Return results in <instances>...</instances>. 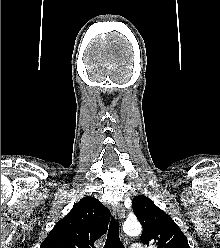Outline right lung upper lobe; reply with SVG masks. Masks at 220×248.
Returning <instances> with one entry per match:
<instances>
[{
    "instance_id": "1",
    "label": "right lung upper lobe",
    "mask_w": 220,
    "mask_h": 248,
    "mask_svg": "<svg viewBox=\"0 0 220 248\" xmlns=\"http://www.w3.org/2000/svg\"><path fill=\"white\" fill-rule=\"evenodd\" d=\"M110 211L94 197H84L51 230L40 248H94L108 227Z\"/></svg>"
}]
</instances>
